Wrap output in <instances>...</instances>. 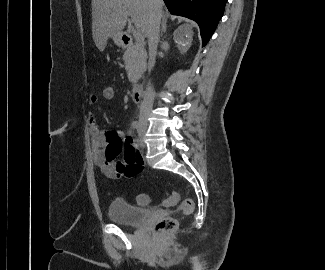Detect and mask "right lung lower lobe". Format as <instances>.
Instances as JSON below:
<instances>
[{
	"label": "right lung lower lobe",
	"instance_id": "1",
	"mask_svg": "<svg viewBox=\"0 0 325 270\" xmlns=\"http://www.w3.org/2000/svg\"><path fill=\"white\" fill-rule=\"evenodd\" d=\"M173 15L196 21L205 46L221 19L227 0H164Z\"/></svg>",
	"mask_w": 325,
	"mask_h": 270
}]
</instances>
